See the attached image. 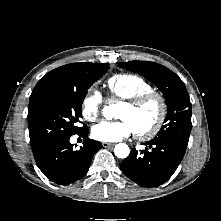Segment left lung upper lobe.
<instances>
[{
    "mask_svg": "<svg viewBox=\"0 0 221 221\" xmlns=\"http://www.w3.org/2000/svg\"><path fill=\"white\" fill-rule=\"evenodd\" d=\"M154 83L164 94L168 112L154 140H169L187 147L192 128L191 102L185 84L174 72L149 61H130L119 64Z\"/></svg>",
    "mask_w": 221,
    "mask_h": 221,
    "instance_id": "obj_1",
    "label": "left lung upper lobe"
}]
</instances>
